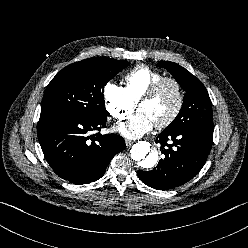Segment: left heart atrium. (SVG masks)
I'll list each match as a JSON object with an SVG mask.
<instances>
[{
	"instance_id": "obj_1",
	"label": "left heart atrium",
	"mask_w": 248,
	"mask_h": 248,
	"mask_svg": "<svg viewBox=\"0 0 248 248\" xmlns=\"http://www.w3.org/2000/svg\"><path fill=\"white\" fill-rule=\"evenodd\" d=\"M154 126L152 120L144 112L138 111L135 115L130 116L121 122L116 130L129 139L139 138Z\"/></svg>"
}]
</instances>
